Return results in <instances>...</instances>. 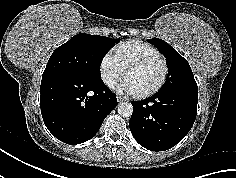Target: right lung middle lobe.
Returning a JSON list of instances; mask_svg holds the SVG:
<instances>
[{"mask_svg":"<svg viewBox=\"0 0 236 178\" xmlns=\"http://www.w3.org/2000/svg\"><path fill=\"white\" fill-rule=\"evenodd\" d=\"M117 39L77 34L59 46L50 56L44 75L64 74L87 80H101L100 65Z\"/></svg>","mask_w":236,"mask_h":178,"instance_id":"obj_1","label":"right lung middle lobe"}]
</instances>
